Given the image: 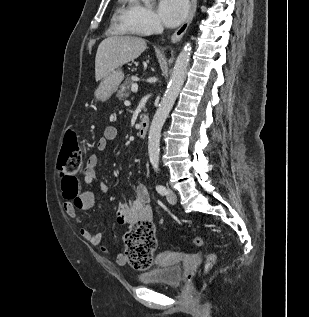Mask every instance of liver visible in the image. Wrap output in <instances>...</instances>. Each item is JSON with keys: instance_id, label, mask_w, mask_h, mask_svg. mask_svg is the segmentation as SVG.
Returning a JSON list of instances; mask_svg holds the SVG:
<instances>
[{"instance_id": "liver-1", "label": "liver", "mask_w": 309, "mask_h": 317, "mask_svg": "<svg viewBox=\"0 0 309 317\" xmlns=\"http://www.w3.org/2000/svg\"><path fill=\"white\" fill-rule=\"evenodd\" d=\"M146 49V41L135 36H111L98 46L95 79L100 81L122 65L133 61Z\"/></svg>"}]
</instances>
